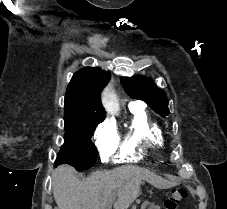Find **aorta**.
Returning <instances> with one entry per match:
<instances>
[{"label":"aorta","instance_id":"aorta-1","mask_svg":"<svg viewBox=\"0 0 227 209\" xmlns=\"http://www.w3.org/2000/svg\"><path fill=\"white\" fill-rule=\"evenodd\" d=\"M103 104L106 111L112 115H117L120 111V106H119L117 96L111 90H106V92H104Z\"/></svg>","mask_w":227,"mask_h":209}]
</instances>
